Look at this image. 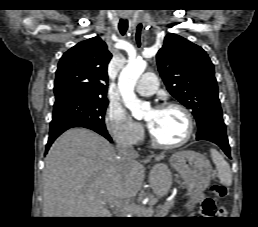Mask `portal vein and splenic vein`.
<instances>
[{
  "label": "portal vein and splenic vein",
  "mask_w": 258,
  "mask_h": 227,
  "mask_svg": "<svg viewBox=\"0 0 258 227\" xmlns=\"http://www.w3.org/2000/svg\"><path fill=\"white\" fill-rule=\"evenodd\" d=\"M109 202L115 204L119 209H126V210H129V211H133V210L143 211V206H140V205L121 206L120 204L117 203V201L110 200Z\"/></svg>",
  "instance_id": "18ae733b"
}]
</instances>
